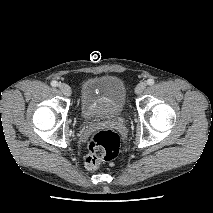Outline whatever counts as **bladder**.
<instances>
[{
	"label": "bladder",
	"mask_w": 213,
	"mask_h": 213,
	"mask_svg": "<svg viewBox=\"0 0 213 213\" xmlns=\"http://www.w3.org/2000/svg\"><path fill=\"white\" fill-rule=\"evenodd\" d=\"M126 102V87L116 76H99L85 80L80 88V112L87 121L119 116Z\"/></svg>",
	"instance_id": "obj_1"
}]
</instances>
